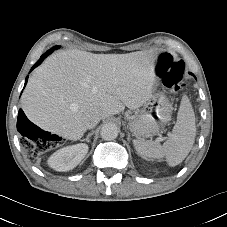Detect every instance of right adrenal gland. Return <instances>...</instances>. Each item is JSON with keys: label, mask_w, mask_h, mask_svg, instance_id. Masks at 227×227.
I'll use <instances>...</instances> for the list:
<instances>
[{"label": "right adrenal gland", "mask_w": 227, "mask_h": 227, "mask_svg": "<svg viewBox=\"0 0 227 227\" xmlns=\"http://www.w3.org/2000/svg\"><path fill=\"white\" fill-rule=\"evenodd\" d=\"M93 133H88L87 137L85 139H82L81 141H86V142H90V137Z\"/></svg>", "instance_id": "1"}]
</instances>
